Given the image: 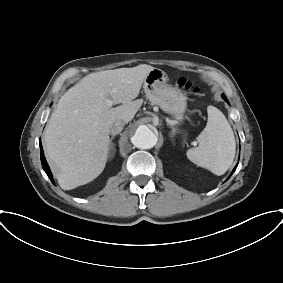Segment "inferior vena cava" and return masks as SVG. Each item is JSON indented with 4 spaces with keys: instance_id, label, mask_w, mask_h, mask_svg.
I'll use <instances>...</instances> for the list:
<instances>
[{
    "instance_id": "inferior-vena-cava-1",
    "label": "inferior vena cava",
    "mask_w": 283,
    "mask_h": 283,
    "mask_svg": "<svg viewBox=\"0 0 283 283\" xmlns=\"http://www.w3.org/2000/svg\"><path fill=\"white\" fill-rule=\"evenodd\" d=\"M124 126L125 122L118 120L111 125L109 132L111 135H117L123 130Z\"/></svg>"
}]
</instances>
